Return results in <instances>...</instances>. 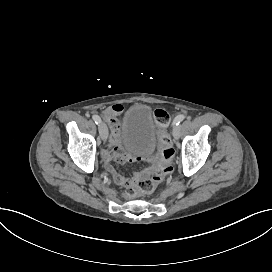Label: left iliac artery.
I'll return each mask as SVG.
<instances>
[{"label":"left iliac artery","instance_id":"44dca946","mask_svg":"<svg viewBox=\"0 0 272 272\" xmlns=\"http://www.w3.org/2000/svg\"><path fill=\"white\" fill-rule=\"evenodd\" d=\"M184 118H185L184 115H178V116L175 118L173 124L176 125V126L179 125L180 122H182Z\"/></svg>","mask_w":272,"mask_h":272}]
</instances>
